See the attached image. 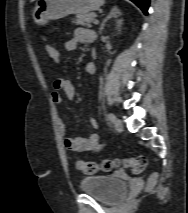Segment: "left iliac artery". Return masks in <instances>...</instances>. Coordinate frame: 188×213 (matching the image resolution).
Returning <instances> with one entry per match:
<instances>
[{
    "mask_svg": "<svg viewBox=\"0 0 188 213\" xmlns=\"http://www.w3.org/2000/svg\"><path fill=\"white\" fill-rule=\"evenodd\" d=\"M116 117L113 113L108 114V120L113 123L115 121Z\"/></svg>",
    "mask_w": 188,
    "mask_h": 213,
    "instance_id": "left-iliac-artery-1",
    "label": "left iliac artery"
}]
</instances>
